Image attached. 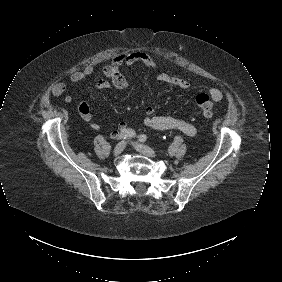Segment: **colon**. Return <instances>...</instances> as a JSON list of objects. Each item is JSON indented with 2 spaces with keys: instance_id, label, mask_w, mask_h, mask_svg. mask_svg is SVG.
<instances>
[{
  "instance_id": "colon-1",
  "label": "colon",
  "mask_w": 282,
  "mask_h": 282,
  "mask_svg": "<svg viewBox=\"0 0 282 282\" xmlns=\"http://www.w3.org/2000/svg\"><path fill=\"white\" fill-rule=\"evenodd\" d=\"M196 102L205 116L210 117L216 112L215 103L208 94H198L196 97Z\"/></svg>"
}]
</instances>
